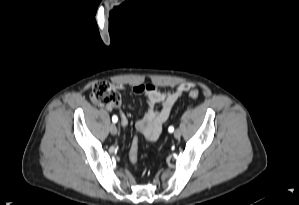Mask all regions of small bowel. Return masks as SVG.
<instances>
[{"mask_svg":"<svg viewBox=\"0 0 299 205\" xmlns=\"http://www.w3.org/2000/svg\"><path fill=\"white\" fill-rule=\"evenodd\" d=\"M116 87L120 89L122 85L118 84ZM191 88H193V84L189 82H183L168 91H160L150 83L138 84L133 87L134 93L146 95L149 105L148 111L136 124L137 131L145 140L155 141L158 139L176 101ZM119 117L121 125L126 127L128 125L127 116L120 112Z\"/></svg>","mask_w":299,"mask_h":205,"instance_id":"c3829d8e","label":"small bowel"}]
</instances>
